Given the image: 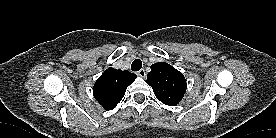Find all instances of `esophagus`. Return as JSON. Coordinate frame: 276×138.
Wrapping results in <instances>:
<instances>
[{
	"label": "esophagus",
	"mask_w": 276,
	"mask_h": 138,
	"mask_svg": "<svg viewBox=\"0 0 276 138\" xmlns=\"http://www.w3.org/2000/svg\"><path fill=\"white\" fill-rule=\"evenodd\" d=\"M138 75L140 76V77H145L146 76V72H145V70L144 69H141V70H139L138 71Z\"/></svg>",
	"instance_id": "esophagus-1"
}]
</instances>
